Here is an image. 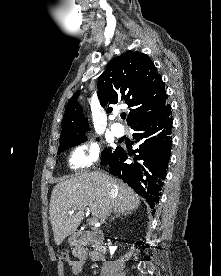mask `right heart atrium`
Returning a JSON list of instances; mask_svg holds the SVG:
<instances>
[{"label": "right heart atrium", "mask_w": 221, "mask_h": 276, "mask_svg": "<svg viewBox=\"0 0 221 276\" xmlns=\"http://www.w3.org/2000/svg\"><path fill=\"white\" fill-rule=\"evenodd\" d=\"M99 152V146L94 142L88 146H79L71 153L69 162L73 168H86L98 160Z\"/></svg>", "instance_id": "d8ad5b80"}]
</instances>
